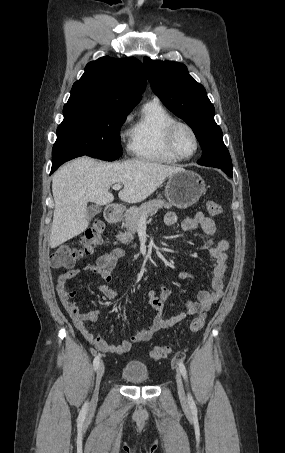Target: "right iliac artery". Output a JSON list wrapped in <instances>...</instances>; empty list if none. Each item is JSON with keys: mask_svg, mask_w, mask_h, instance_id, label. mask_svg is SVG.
Returning <instances> with one entry per match:
<instances>
[{"mask_svg": "<svg viewBox=\"0 0 285 453\" xmlns=\"http://www.w3.org/2000/svg\"><path fill=\"white\" fill-rule=\"evenodd\" d=\"M99 363H100V355H97V356L95 357L94 361H93V368H94V370H96V369L98 368ZM87 406H88V403H85L84 406H83V408H82V412H84V413L86 412Z\"/></svg>", "mask_w": 285, "mask_h": 453, "instance_id": "82829eb1", "label": "right iliac artery"}]
</instances>
